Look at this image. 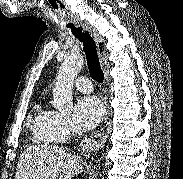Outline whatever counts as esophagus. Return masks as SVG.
Masks as SVG:
<instances>
[{"mask_svg": "<svg viewBox=\"0 0 183 179\" xmlns=\"http://www.w3.org/2000/svg\"><path fill=\"white\" fill-rule=\"evenodd\" d=\"M82 27L86 32H89L93 39L96 42L97 45V50L98 54L103 62V65H105V42L104 39L91 27L87 26L86 24H82ZM105 78H106V85L108 83V74L107 72L105 73ZM106 116L102 120L101 126L99 130H97L94 134H92L90 137L84 139L81 143V147L84 150L90 151V150H95L100 147H102L106 140L107 137L110 133L111 129V117H112V110L110 108L109 102H108V89L106 88Z\"/></svg>", "mask_w": 183, "mask_h": 179, "instance_id": "esophagus-1", "label": "esophagus"}]
</instances>
